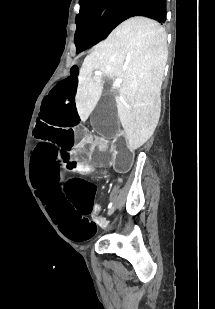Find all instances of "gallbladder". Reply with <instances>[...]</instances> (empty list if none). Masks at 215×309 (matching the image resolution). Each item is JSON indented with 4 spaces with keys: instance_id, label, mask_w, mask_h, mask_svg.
<instances>
[{
    "instance_id": "gallbladder-1",
    "label": "gallbladder",
    "mask_w": 215,
    "mask_h": 309,
    "mask_svg": "<svg viewBox=\"0 0 215 309\" xmlns=\"http://www.w3.org/2000/svg\"><path fill=\"white\" fill-rule=\"evenodd\" d=\"M96 109L92 113V123L96 126L98 136H111L115 134V128L118 126L117 104L112 92L102 94Z\"/></svg>"
}]
</instances>
